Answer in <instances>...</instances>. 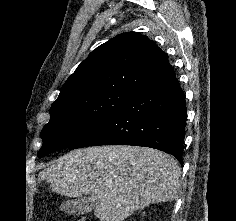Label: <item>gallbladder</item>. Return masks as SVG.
<instances>
[{"label":"gallbladder","instance_id":"bac80fb5","mask_svg":"<svg viewBox=\"0 0 236 221\" xmlns=\"http://www.w3.org/2000/svg\"><path fill=\"white\" fill-rule=\"evenodd\" d=\"M95 201L91 196L69 199L61 204V210L68 215H84L91 212Z\"/></svg>","mask_w":236,"mask_h":221}]
</instances>
